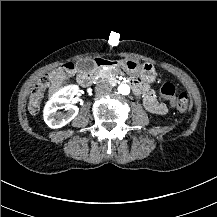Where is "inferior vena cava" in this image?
<instances>
[{"label":"inferior vena cava","mask_w":217,"mask_h":217,"mask_svg":"<svg viewBox=\"0 0 217 217\" xmlns=\"http://www.w3.org/2000/svg\"><path fill=\"white\" fill-rule=\"evenodd\" d=\"M112 90L111 86L106 83V82H102V83H99L97 86H96V91L98 93H108Z\"/></svg>","instance_id":"inferior-vena-cava-1"}]
</instances>
